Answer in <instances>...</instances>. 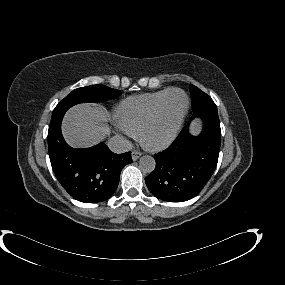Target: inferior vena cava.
Here are the masks:
<instances>
[{
  "label": "inferior vena cava",
  "instance_id": "obj_1",
  "mask_svg": "<svg viewBox=\"0 0 285 285\" xmlns=\"http://www.w3.org/2000/svg\"><path fill=\"white\" fill-rule=\"evenodd\" d=\"M108 147L114 153H125L130 151L133 145L124 136L116 135L109 140Z\"/></svg>",
  "mask_w": 285,
  "mask_h": 285
}]
</instances>
